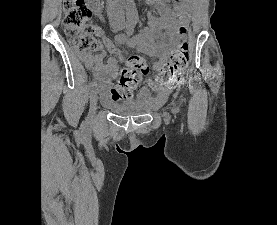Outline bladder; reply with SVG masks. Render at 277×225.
Masks as SVG:
<instances>
[{"mask_svg": "<svg viewBox=\"0 0 277 225\" xmlns=\"http://www.w3.org/2000/svg\"><path fill=\"white\" fill-rule=\"evenodd\" d=\"M105 107L119 116H139L150 112L154 108V103L150 98H141L126 102L107 103Z\"/></svg>", "mask_w": 277, "mask_h": 225, "instance_id": "bladder-1", "label": "bladder"}]
</instances>
